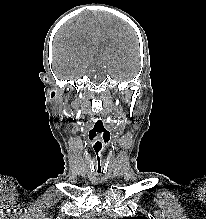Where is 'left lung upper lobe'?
Segmentation results:
<instances>
[{
  "mask_svg": "<svg viewBox=\"0 0 206 219\" xmlns=\"http://www.w3.org/2000/svg\"><path fill=\"white\" fill-rule=\"evenodd\" d=\"M122 219H148L147 217H144V216H137V217H132V218H129V217H124Z\"/></svg>",
  "mask_w": 206,
  "mask_h": 219,
  "instance_id": "left-lung-upper-lobe-1",
  "label": "left lung upper lobe"
}]
</instances>
